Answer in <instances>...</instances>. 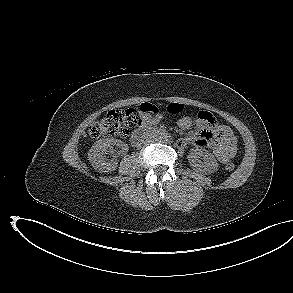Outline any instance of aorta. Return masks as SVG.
<instances>
[{"mask_svg":"<svg viewBox=\"0 0 293 293\" xmlns=\"http://www.w3.org/2000/svg\"><path fill=\"white\" fill-rule=\"evenodd\" d=\"M168 137L169 136L167 133H161V135L158 137V139L160 142H167L169 140Z\"/></svg>","mask_w":293,"mask_h":293,"instance_id":"1","label":"aorta"}]
</instances>
